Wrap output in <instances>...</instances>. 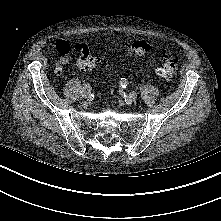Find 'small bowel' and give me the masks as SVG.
Returning <instances> with one entry per match:
<instances>
[{
  "label": "small bowel",
  "mask_w": 221,
  "mask_h": 221,
  "mask_svg": "<svg viewBox=\"0 0 221 221\" xmlns=\"http://www.w3.org/2000/svg\"><path fill=\"white\" fill-rule=\"evenodd\" d=\"M55 47L60 54V57H59L58 61L56 62V66H55V71L57 74H60L63 66H65L68 63L67 55L69 54L71 49L80 53L81 56L83 54L89 52L87 45L84 43H81V42H76L73 45H71L70 43H68L65 40H58L55 43ZM76 65H77V67L81 68L80 59H78Z\"/></svg>",
  "instance_id": "1"
}]
</instances>
